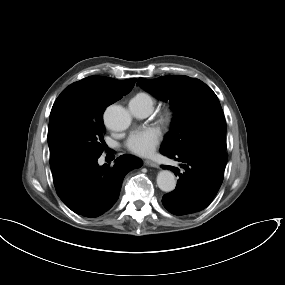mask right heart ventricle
<instances>
[{
    "mask_svg": "<svg viewBox=\"0 0 285 285\" xmlns=\"http://www.w3.org/2000/svg\"><path fill=\"white\" fill-rule=\"evenodd\" d=\"M138 95H144V96H147V97H149V98H150V100L152 101L151 97H150L148 94L140 93V94H138Z\"/></svg>",
    "mask_w": 285,
    "mask_h": 285,
    "instance_id": "obj_1",
    "label": "right heart ventricle"
}]
</instances>
